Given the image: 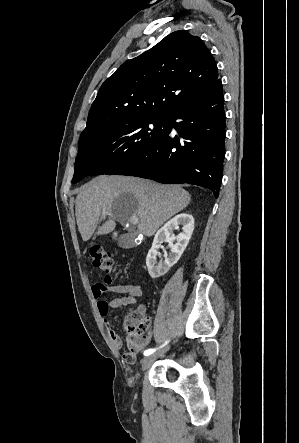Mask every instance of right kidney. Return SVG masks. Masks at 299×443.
I'll return each instance as SVG.
<instances>
[{"label":"right kidney","mask_w":299,"mask_h":443,"mask_svg":"<svg viewBox=\"0 0 299 443\" xmlns=\"http://www.w3.org/2000/svg\"><path fill=\"white\" fill-rule=\"evenodd\" d=\"M179 225L182 226V232L175 236L173 232L174 230L179 229ZM193 230V216L183 213L169 220L157 231L152 247L146 257L147 269L152 278H158L166 274L168 270L177 263L189 243ZM164 241L169 243L168 247L170 248V253L165 256L164 261L158 263V250ZM174 241L176 242L173 243Z\"/></svg>","instance_id":"right-kidney-1"}]
</instances>
